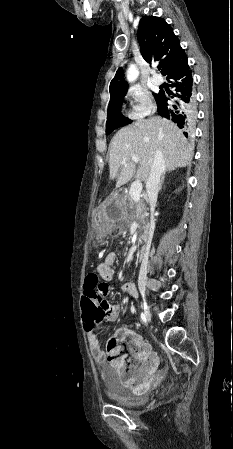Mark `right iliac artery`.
<instances>
[{"label": "right iliac artery", "instance_id": "obj_1", "mask_svg": "<svg viewBox=\"0 0 233 449\" xmlns=\"http://www.w3.org/2000/svg\"><path fill=\"white\" fill-rule=\"evenodd\" d=\"M141 319H142L143 322L146 323L147 320H146L145 315L143 313H141Z\"/></svg>", "mask_w": 233, "mask_h": 449}]
</instances>
